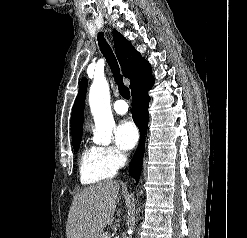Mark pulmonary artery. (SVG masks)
Returning a JSON list of instances; mask_svg holds the SVG:
<instances>
[{"label":"pulmonary artery","mask_w":247,"mask_h":238,"mask_svg":"<svg viewBox=\"0 0 247 238\" xmlns=\"http://www.w3.org/2000/svg\"><path fill=\"white\" fill-rule=\"evenodd\" d=\"M128 109V104L124 100H117L113 105V110L120 115L127 113Z\"/></svg>","instance_id":"1"}]
</instances>
